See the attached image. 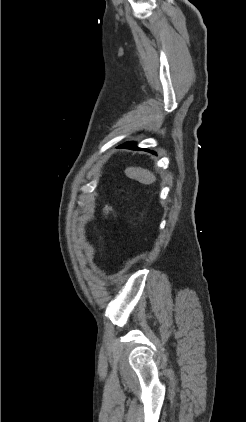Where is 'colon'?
Instances as JSON below:
<instances>
[{
  "label": "colon",
  "mask_w": 246,
  "mask_h": 422,
  "mask_svg": "<svg viewBox=\"0 0 246 422\" xmlns=\"http://www.w3.org/2000/svg\"><path fill=\"white\" fill-rule=\"evenodd\" d=\"M115 205H116L115 202H113V203L111 202V203H108V204H106L104 206V208L101 211V216H102L103 220H106V218L108 217V215L114 209ZM99 235H100L101 238H103V239L105 238V232H104L103 229H100L99 230Z\"/></svg>",
  "instance_id": "1"
}]
</instances>
